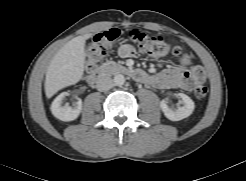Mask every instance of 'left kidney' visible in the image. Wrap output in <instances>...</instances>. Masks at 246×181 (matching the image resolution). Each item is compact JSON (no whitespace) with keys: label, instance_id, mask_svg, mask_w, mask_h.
Masks as SVG:
<instances>
[{"label":"left kidney","instance_id":"obj_1","mask_svg":"<svg viewBox=\"0 0 246 181\" xmlns=\"http://www.w3.org/2000/svg\"><path fill=\"white\" fill-rule=\"evenodd\" d=\"M177 96L183 101V106L177 107L176 109H172L167 105V99H163L160 102V107L164 115L171 121H179L187 118L192 114L195 107L193 100L186 94L179 93Z\"/></svg>","mask_w":246,"mask_h":181}]
</instances>
